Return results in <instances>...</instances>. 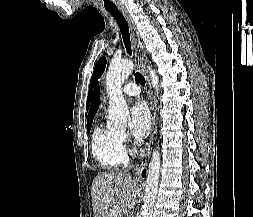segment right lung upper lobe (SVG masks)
Masks as SVG:
<instances>
[{"instance_id":"obj_1","label":"right lung upper lobe","mask_w":253,"mask_h":217,"mask_svg":"<svg viewBox=\"0 0 253 217\" xmlns=\"http://www.w3.org/2000/svg\"><path fill=\"white\" fill-rule=\"evenodd\" d=\"M91 101V105H90V111L87 117V123H90L93 121V118L99 108V104H100V87H99V83L97 82L94 92H93V96L92 99L90 98Z\"/></svg>"}]
</instances>
